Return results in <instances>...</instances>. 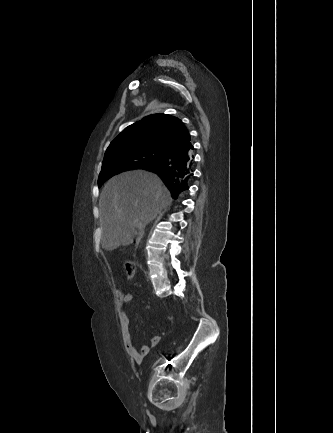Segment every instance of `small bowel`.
Returning <instances> with one entry per match:
<instances>
[{"instance_id":"c3829d8e","label":"small bowel","mask_w":333,"mask_h":433,"mask_svg":"<svg viewBox=\"0 0 333 433\" xmlns=\"http://www.w3.org/2000/svg\"><path fill=\"white\" fill-rule=\"evenodd\" d=\"M119 300L122 304V308L119 313V321L122 330V336L124 345L129 356L137 363H141L145 356L149 354L151 349L159 344L161 341V337L156 335L152 337L150 345H143L140 349H138L132 340V336L129 331L130 319L125 309V305H128L133 302L134 296L131 293L121 292L119 294Z\"/></svg>"}]
</instances>
